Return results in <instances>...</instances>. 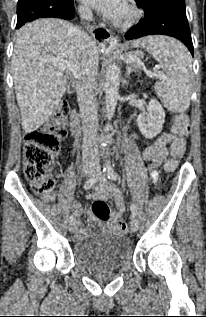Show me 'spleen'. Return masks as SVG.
<instances>
[{"label":"spleen","instance_id":"1","mask_svg":"<svg viewBox=\"0 0 206 317\" xmlns=\"http://www.w3.org/2000/svg\"><path fill=\"white\" fill-rule=\"evenodd\" d=\"M149 52L162 66L165 76L155 84L163 105L172 112H184L190 104L192 60L187 48L179 41L164 36H149L133 42Z\"/></svg>","mask_w":206,"mask_h":317}]
</instances>
